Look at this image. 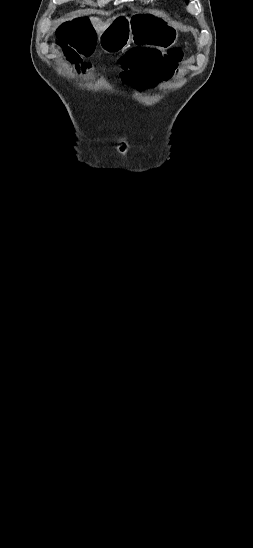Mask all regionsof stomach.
Listing matches in <instances>:
<instances>
[{"label": "stomach", "mask_w": 253, "mask_h": 548, "mask_svg": "<svg viewBox=\"0 0 253 548\" xmlns=\"http://www.w3.org/2000/svg\"><path fill=\"white\" fill-rule=\"evenodd\" d=\"M178 32L161 18L146 13H135L132 17L125 14L117 16L110 25L98 35L101 49L106 53H119L134 44L173 45Z\"/></svg>", "instance_id": "obj_1"}]
</instances>
